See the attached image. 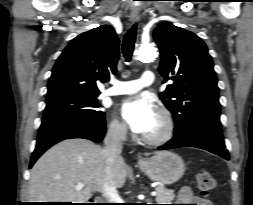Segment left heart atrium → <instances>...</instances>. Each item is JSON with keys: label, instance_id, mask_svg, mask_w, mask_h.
<instances>
[{"label": "left heart atrium", "instance_id": "left-heart-atrium-1", "mask_svg": "<svg viewBox=\"0 0 253 205\" xmlns=\"http://www.w3.org/2000/svg\"><path fill=\"white\" fill-rule=\"evenodd\" d=\"M121 114L134 133L145 134L157 117L152 101L147 97H136L125 101Z\"/></svg>", "mask_w": 253, "mask_h": 205}]
</instances>
